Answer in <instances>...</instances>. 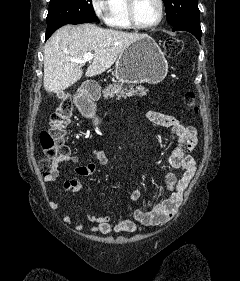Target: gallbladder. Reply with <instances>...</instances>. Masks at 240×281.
Wrapping results in <instances>:
<instances>
[{
	"instance_id": "gallbladder-1",
	"label": "gallbladder",
	"mask_w": 240,
	"mask_h": 281,
	"mask_svg": "<svg viewBox=\"0 0 240 281\" xmlns=\"http://www.w3.org/2000/svg\"><path fill=\"white\" fill-rule=\"evenodd\" d=\"M57 97L58 98H63L64 97V93L62 91L57 92Z\"/></svg>"
}]
</instances>
